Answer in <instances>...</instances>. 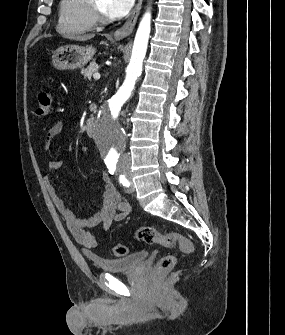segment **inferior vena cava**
Segmentation results:
<instances>
[{
    "instance_id": "1",
    "label": "inferior vena cava",
    "mask_w": 285,
    "mask_h": 335,
    "mask_svg": "<svg viewBox=\"0 0 285 335\" xmlns=\"http://www.w3.org/2000/svg\"><path fill=\"white\" fill-rule=\"evenodd\" d=\"M121 158H122L123 162H128V160H129V156H127V154H122Z\"/></svg>"
}]
</instances>
